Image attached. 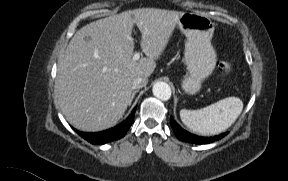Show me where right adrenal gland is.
<instances>
[{
    "label": "right adrenal gland",
    "instance_id": "2a0ac1e0",
    "mask_svg": "<svg viewBox=\"0 0 288 181\" xmlns=\"http://www.w3.org/2000/svg\"><path fill=\"white\" fill-rule=\"evenodd\" d=\"M137 92H138V90L133 91L130 104H131V102H132V100H133V98H134V96H135V94H136Z\"/></svg>",
    "mask_w": 288,
    "mask_h": 181
}]
</instances>
